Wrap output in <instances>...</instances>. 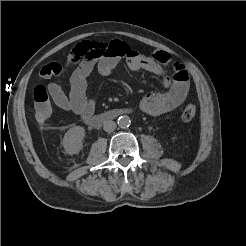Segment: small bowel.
I'll use <instances>...</instances> for the list:
<instances>
[{"mask_svg":"<svg viewBox=\"0 0 246 246\" xmlns=\"http://www.w3.org/2000/svg\"><path fill=\"white\" fill-rule=\"evenodd\" d=\"M159 54L161 59L155 57ZM132 71H147L161 78L163 91L152 92L142 98L139 109L150 115L160 116L174 111L187 97L188 72L183 64L172 61L171 56L158 51L148 56L120 40L105 42L83 41L67 55L64 64L49 63L40 70V81L51 80L48 91L53 104L61 110L70 111L86 118L95 111V101L87 98V78L94 68L103 76H109L121 60ZM166 66H171L172 76ZM71 71L70 92L67 95L58 82L61 74Z\"/></svg>","mask_w":246,"mask_h":246,"instance_id":"1","label":"small bowel"}]
</instances>
